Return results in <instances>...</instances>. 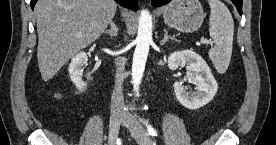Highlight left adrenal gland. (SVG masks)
<instances>
[{
  "label": "left adrenal gland",
  "mask_w": 276,
  "mask_h": 145,
  "mask_svg": "<svg viewBox=\"0 0 276 145\" xmlns=\"http://www.w3.org/2000/svg\"><path fill=\"white\" fill-rule=\"evenodd\" d=\"M164 37L163 39L160 41V45H164L169 39L174 40V41H179L178 39H176L175 37L169 36L168 35V31L166 29H164Z\"/></svg>",
  "instance_id": "1"
}]
</instances>
